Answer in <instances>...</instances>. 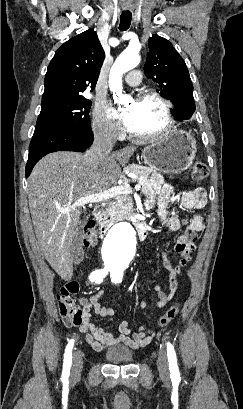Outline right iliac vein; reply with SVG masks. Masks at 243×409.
<instances>
[{"instance_id": "obj_1", "label": "right iliac vein", "mask_w": 243, "mask_h": 409, "mask_svg": "<svg viewBox=\"0 0 243 409\" xmlns=\"http://www.w3.org/2000/svg\"><path fill=\"white\" fill-rule=\"evenodd\" d=\"M82 354L80 351H76L73 354V365H72V378H78L82 370Z\"/></svg>"}]
</instances>
